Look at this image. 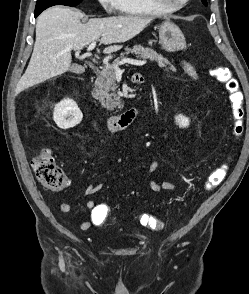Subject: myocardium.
<instances>
[{"label":"myocardium","instance_id":"myocardium-1","mask_svg":"<svg viewBox=\"0 0 249 294\" xmlns=\"http://www.w3.org/2000/svg\"><path fill=\"white\" fill-rule=\"evenodd\" d=\"M153 4H155L157 7L167 11L168 13L177 11L184 7L190 0H184L183 2L176 4V5H171L167 3L166 0H151Z\"/></svg>","mask_w":249,"mask_h":294}]
</instances>
